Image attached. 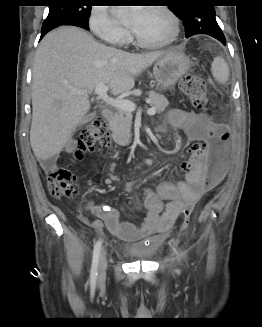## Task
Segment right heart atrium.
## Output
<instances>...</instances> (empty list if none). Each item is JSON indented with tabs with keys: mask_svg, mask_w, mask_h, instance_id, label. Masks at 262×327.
Instances as JSON below:
<instances>
[{
	"mask_svg": "<svg viewBox=\"0 0 262 327\" xmlns=\"http://www.w3.org/2000/svg\"><path fill=\"white\" fill-rule=\"evenodd\" d=\"M88 25L93 34L107 44L121 47L128 42V31L118 25L109 7L94 6L88 17Z\"/></svg>",
	"mask_w": 262,
	"mask_h": 327,
	"instance_id": "obj_1",
	"label": "right heart atrium"
}]
</instances>
